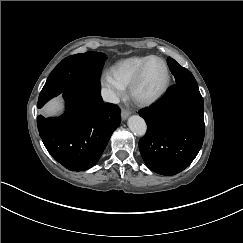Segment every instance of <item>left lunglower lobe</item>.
Listing matches in <instances>:
<instances>
[{"label":"left lung lower lobe","mask_w":243,"mask_h":243,"mask_svg":"<svg viewBox=\"0 0 243 243\" xmlns=\"http://www.w3.org/2000/svg\"><path fill=\"white\" fill-rule=\"evenodd\" d=\"M147 133L139 141L149 169L175 175L187 168L204 139V105L197 83H176L156 104L139 112Z\"/></svg>","instance_id":"left-lung-lower-lobe-1"}]
</instances>
